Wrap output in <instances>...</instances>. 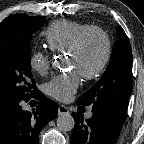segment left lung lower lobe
<instances>
[{"mask_svg":"<svg viewBox=\"0 0 144 144\" xmlns=\"http://www.w3.org/2000/svg\"><path fill=\"white\" fill-rule=\"evenodd\" d=\"M93 115L84 121L82 115L72 113L75 126L71 144H115L126 116L108 107H93Z\"/></svg>","mask_w":144,"mask_h":144,"instance_id":"left-lung-lower-lobe-1","label":"left lung lower lobe"}]
</instances>
